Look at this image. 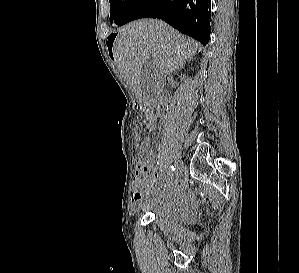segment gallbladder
I'll return each instance as SVG.
<instances>
[{"label":"gallbladder","mask_w":299,"mask_h":273,"mask_svg":"<svg viewBox=\"0 0 299 273\" xmlns=\"http://www.w3.org/2000/svg\"><path fill=\"white\" fill-rule=\"evenodd\" d=\"M158 73L151 61L146 62L141 69V85L145 98L154 97V89Z\"/></svg>","instance_id":"obj_1"}]
</instances>
